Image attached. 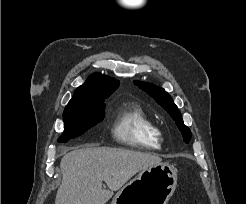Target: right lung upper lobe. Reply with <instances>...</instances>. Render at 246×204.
<instances>
[{"mask_svg":"<svg viewBox=\"0 0 246 204\" xmlns=\"http://www.w3.org/2000/svg\"><path fill=\"white\" fill-rule=\"evenodd\" d=\"M118 86V81L106 75L94 73L88 77L83 85L75 90L67 106L82 104L91 98L108 97Z\"/></svg>","mask_w":246,"mask_h":204,"instance_id":"obj_1","label":"right lung upper lobe"}]
</instances>
